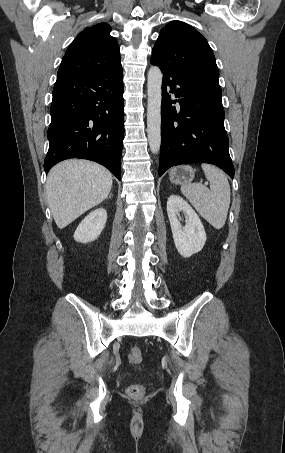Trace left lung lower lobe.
<instances>
[{"mask_svg": "<svg viewBox=\"0 0 285 453\" xmlns=\"http://www.w3.org/2000/svg\"><path fill=\"white\" fill-rule=\"evenodd\" d=\"M151 63L163 71L159 176L172 166L197 162L214 164L233 178L222 93L154 57ZM176 102L180 107L172 106Z\"/></svg>", "mask_w": 285, "mask_h": 453, "instance_id": "1", "label": "left lung lower lobe"}]
</instances>
